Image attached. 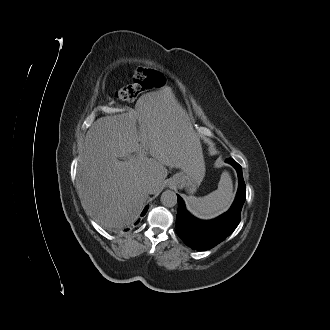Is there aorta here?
<instances>
[{
    "label": "aorta",
    "instance_id": "obj_1",
    "mask_svg": "<svg viewBox=\"0 0 330 330\" xmlns=\"http://www.w3.org/2000/svg\"><path fill=\"white\" fill-rule=\"evenodd\" d=\"M161 203L165 207H174L177 204V195L174 191L166 190L161 195Z\"/></svg>",
    "mask_w": 330,
    "mask_h": 330
}]
</instances>
